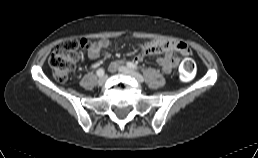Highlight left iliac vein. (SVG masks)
Returning a JSON list of instances; mask_svg holds the SVG:
<instances>
[{"mask_svg": "<svg viewBox=\"0 0 258 158\" xmlns=\"http://www.w3.org/2000/svg\"><path fill=\"white\" fill-rule=\"evenodd\" d=\"M118 70H119V72H121L125 75H129V76L135 78L139 83L143 82V77L139 73H137L125 66H119Z\"/></svg>", "mask_w": 258, "mask_h": 158, "instance_id": "4c4485c4", "label": "left iliac vein"}]
</instances>
